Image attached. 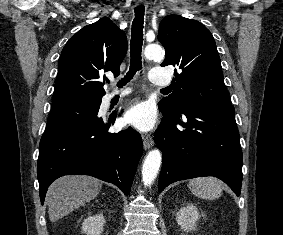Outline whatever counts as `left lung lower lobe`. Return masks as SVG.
<instances>
[{
  "label": "left lung lower lobe",
  "instance_id": "0a47b994",
  "mask_svg": "<svg viewBox=\"0 0 283 235\" xmlns=\"http://www.w3.org/2000/svg\"><path fill=\"white\" fill-rule=\"evenodd\" d=\"M160 111L165 117L154 135L163 153L159 192L176 181L215 176L239 196L243 162L234 107L192 106L175 115Z\"/></svg>",
  "mask_w": 283,
  "mask_h": 235
}]
</instances>
